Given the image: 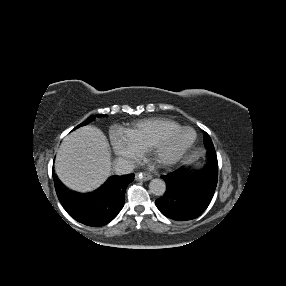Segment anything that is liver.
Returning a JSON list of instances; mask_svg holds the SVG:
<instances>
[{
    "instance_id": "obj_1",
    "label": "liver",
    "mask_w": 286,
    "mask_h": 286,
    "mask_svg": "<svg viewBox=\"0 0 286 286\" xmlns=\"http://www.w3.org/2000/svg\"><path fill=\"white\" fill-rule=\"evenodd\" d=\"M55 172L70 189L91 191L111 174V153L103 132L84 126L66 136L56 155Z\"/></svg>"
}]
</instances>
